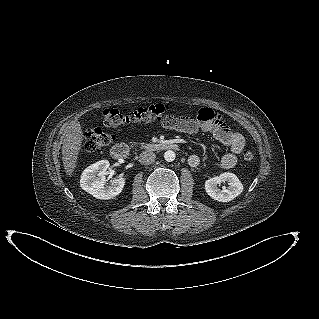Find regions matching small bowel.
<instances>
[{
  "instance_id": "obj_1",
  "label": "small bowel",
  "mask_w": 319,
  "mask_h": 319,
  "mask_svg": "<svg viewBox=\"0 0 319 319\" xmlns=\"http://www.w3.org/2000/svg\"><path fill=\"white\" fill-rule=\"evenodd\" d=\"M162 125L170 130L186 134H196L199 131L210 133L219 143L229 149L220 160V167L223 169L233 168L237 164L238 155L245 146V138L242 134L232 130L226 121L209 108L201 109L197 117H178L166 119ZM188 163L196 168L200 165L201 159L198 155L192 154Z\"/></svg>"
}]
</instances>
